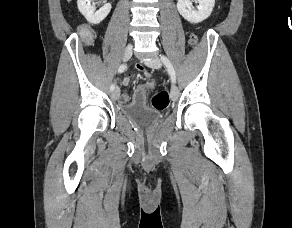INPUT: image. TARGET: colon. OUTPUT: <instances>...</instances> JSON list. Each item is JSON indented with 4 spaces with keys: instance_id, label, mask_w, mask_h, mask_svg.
<instances>
[{
    "instance_id": "obj_1",
    "label": "colon",
    "mask_w": 292,
    "mask_h": 228,
    "mask_svg": "<svg viewBox=\"0 0 292 228\" xmlns=\"http://www.w3.org/2000/svg\"><path fill=\"white\" fill-rule=\"evenodd\" d=\"M80 35L86 42L92 41V35L88 28L82 27L80 29ZM196 41L195 38L192 39V42L194 43ZM170 99L169 94L166 91H160L153 95L151 99L152 107L156 110H164L169 106Z\"/></svg>"
}]
</instances>
